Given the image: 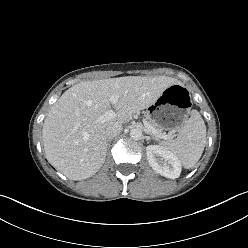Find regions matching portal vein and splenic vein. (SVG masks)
Instances as JSON below:
<instances>
[{
    "label": "portal vein and splenic vein",
    "instance_id": "portal-vein-and-splenic-vein-1",
    "mask_svg": "<svg viewBox=\"0 0 248 248\" xmlns=\"http://www.w3.org/2000/svg\"><path fill=\"white\" fill-rule=\"evenodd\" d=\"M109 99H110V101H111V103H116L117 101H118V99H119V96L118 95H111L110 97H109ZM115 112L112 110V109H108L103 115H101L99 118H98V121L99 122H105V121H107V120H111V119H113L114 117H115ZM144 122V125H145V127L148 129V130H151V131H154V129L151 127V125L149 124V122L148 121H143ZM155 132V131H154ZM160 138H162V139H167V138H169V136L168 135H166V134H161L160 135Z\"/></svg>",
    "mask_w": 248,
    "mask_h": 248
}]
</instances>
